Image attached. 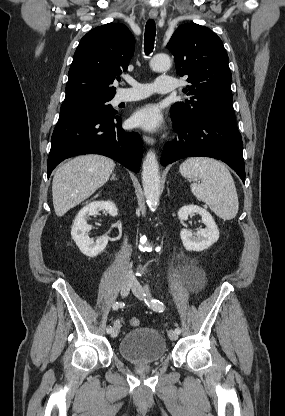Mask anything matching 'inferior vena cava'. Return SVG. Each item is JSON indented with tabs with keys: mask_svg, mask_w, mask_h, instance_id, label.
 <instances>
[{
	"mask_svg": "<svg viewBox=\"0 0 285 416\" xmlns=\"http://www.w3.org/2000/svg\"><path fill=\"white\" fill-rule=\"evenodd\" d=\"M128 276H134V274H133V272H131V270H129Z\"/></svg>",
	"mask_w": 285,
	"mask_h": 416,
	"instance_id": "obj_1",
	"label": "inferior vena cava"
}]
</instances>
